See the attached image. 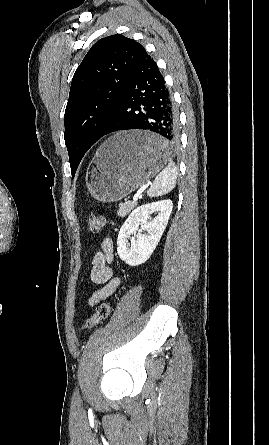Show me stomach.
<instances>
[{
	"instance_id": "obj_1",
	"label": "stomach",
	"mask_w": 269,
	"mask_h": 445,
	"mask_svg": "<svg viewBox=\"0 0 269 445\" xmlns=\"http://www.w3.org/2000/svg\"><path fill=\"white\" fill-rule=\"evenodd\" d=\"M165 140L147 131H123L97 150L88 175L91 196L116 202L151 180L168 162Z\"/></svg>"
}]
</instances>
